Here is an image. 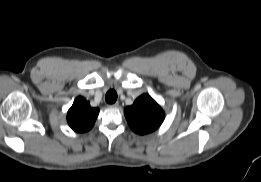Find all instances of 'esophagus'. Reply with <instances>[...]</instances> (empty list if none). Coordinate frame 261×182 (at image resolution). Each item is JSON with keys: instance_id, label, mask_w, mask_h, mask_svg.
I'll list each match as a JSON object with an SVG mask.
<instances>
[{"instance_id": "34e87169", "label": "esophagus", "mask_w": 261, "mask_h": 182, "mask_svg": "<svg viewBox=\"0 0 261 182\" xmlns=\"http://www.w3.org/2000/svg\"><path fill=\"white\" fill-rule=\"evenodd\" d=\"M118 106H119L118 102L109 105V107H111V108H117Z\"/></svg>"}]
</instances>
